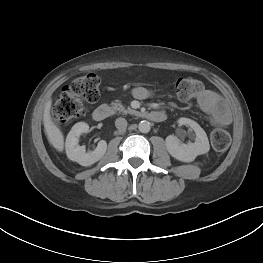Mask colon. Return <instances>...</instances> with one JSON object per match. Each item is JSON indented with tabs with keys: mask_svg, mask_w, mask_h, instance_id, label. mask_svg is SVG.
<instances>
[{
	"mask_svg": "<svg viewBox=\"0 0 263 263\" xmlns=\"http://www.w3.org/2000/svg\"><path fill=\"white\" fill-rule=\"evenodd\" d=\"M100 79L96 74L90 73L75 79L65 87L56 98L52 117L57 124H66L79 116L84 109V102L94 103L99 98ZM178 98L188 101L200 95L203 84L195 78H180L175 83ZM231 143L230 134L224 129H216L211 134V144L216 151L226 150Z\"/></svg>",
	"mask_w": 263,
	"mask_h": 263,
	"instance_id": "1",
	"label": "colon"
}]
</instances>
